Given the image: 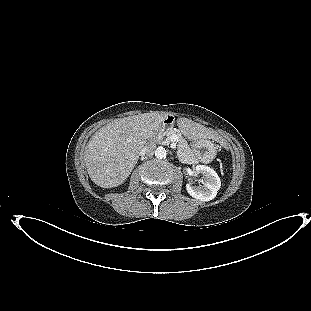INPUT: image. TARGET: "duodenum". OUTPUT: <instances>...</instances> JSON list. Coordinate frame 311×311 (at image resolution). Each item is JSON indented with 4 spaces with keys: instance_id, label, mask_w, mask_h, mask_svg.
<instances>
[{
    "instance_id": "duodenum-1",
    "label": "duodenum",
    "mask_w": 311,
    "mask_h": 311,
    "mask_svg": "<svg viewBox=\"0 0 311 311\" xmlns=\"http://www.w3.org/2000/svg\"><path fill=\"white\" fill-rule=\"evenodd\" d=\"M172 123V120L171 119H167L166 121H165V124L166 125H170Z\"/></svg>"
}]
</instances>
